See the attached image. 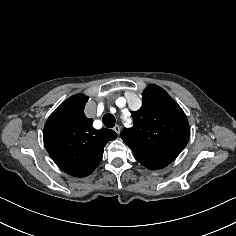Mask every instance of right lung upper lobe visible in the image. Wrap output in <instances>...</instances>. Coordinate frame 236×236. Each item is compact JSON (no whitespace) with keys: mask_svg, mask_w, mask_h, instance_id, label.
I'll list each match as a JSON object with an SVG mask.
<instances>
[{"mask_svg":"<svg viewBox=\"0 0 236 236\" xmlns=\"http://www.w3.org/2000/svg\"><path fill=\"white\" fill-rule=\"evenodd\" d=\"M86 96H72L48 118L44 144L57 166L75 177L91 174L103 156L107 142L117 137L110 129L95 130L84 115Z\"/></svg>","mask_w":236,"mask_h":236,"instance_id":"obj_1","label":"right lung upper lobe"}]
</instances>
